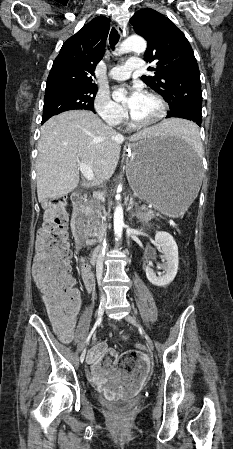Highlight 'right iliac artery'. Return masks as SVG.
I'll use <instances>...</instances> for the list:
<instances>
[{
    "label": "right iliac artery",
    "mask_w": 233,
    "mask_h": 449,
    "mask_svg": "<svg viewBox=\"0 0 233 449\" xmlns=\"http://www.w3.org/2000/svg\"><path fill=\"white\" fill-rule=\"evenodd\" d=\"M100 323H101V318L97 319V321L95 322L94 327L92 328V330H91V332H90V334H89V336H88V338H87V341H89V339L91 338V336L94 334L95 329L97 328V326H98ZM85 354H86V350H84V351L82 352L81 356H80L81 361L84 360Z\"/></svg>",
    "instance_id": "1"
}]
</instances>
